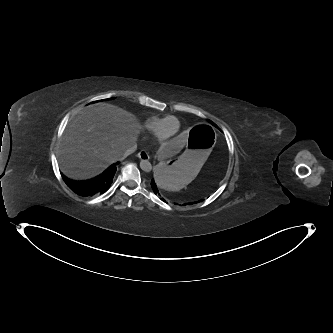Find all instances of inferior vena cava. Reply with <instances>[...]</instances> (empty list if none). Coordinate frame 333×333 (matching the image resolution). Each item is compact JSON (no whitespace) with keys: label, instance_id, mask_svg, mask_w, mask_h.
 Here are the masks:
<instances>
[{"label":"inferior vena cava","instance_id":"inferior-vena-cava-1","mask_svg":"<svg viewBox=\"0 0 333 333\" xmlns=\"http://www.w3.org/2000/svg\"><path fill=\"white\" fill-rule=\"evenodd\" d=\"M137 149V146L134 145L131 148L127 149L121 156H118L116 158V161H122L124 160L127 156H129L130 154L134 153Z\"/></svg>","mask_w":333,"mask_h":333}]
</instances>
